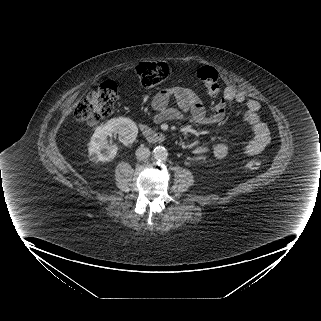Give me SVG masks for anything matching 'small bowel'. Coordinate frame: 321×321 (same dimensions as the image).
Wrapping results in <instances>:
<instances>
[{
  "mask_svg": "<svg viewBox=\"0 0 321 321\" xmlns=\"http://www.w3.org/2000/svg\"><path fill=\"white\" fill-rule=\"evenodd\" d=\"M172 102L175 106L171 105ZM227 103L244 106L243 121L252 132V138L243 146L244 153L256 155L263 151L270 141V131L259 116L260 103L233 88L226 89L223 100L213 107H206L199 95L192 89L175 86L160 91L153 99L155 110L154 120L164 122L183 120L184 114H189V120L196 124L214 125L222 122L227 114ZM209 150L206 146H199L193 150L195 155H202ZM216 159L227 157L229 147L225 142H218L212 147Z\"/></svg>",
  "mask_w": 321,
  "mask_h": 321,
  "instance_id": "obj_1",
  "label": "small bowel"
}]
</instances>
